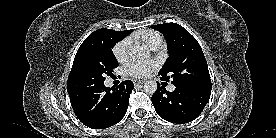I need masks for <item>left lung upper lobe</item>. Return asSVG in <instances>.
Here are the masks:
<instances>
[{
	"mask_svg": "<svg viewBox=\"0 0 276 138\" xmlns=\"http://www.w3.org/2000/svg\"><path fill=\"white\" fill-rule=\"evenodd\" d=\"M151 27L161 32L167 41L169 57L158 73L161 79L171 78L176 87L211 91L207 62L197 40L176 23Z\"/></svg>",
	"mask_w": 276,
	"mask_h": 138,
	"instance_id": "left-lung-upper-lobe-1",
	"label": "left lung upper lobe"
}]
</instances>
